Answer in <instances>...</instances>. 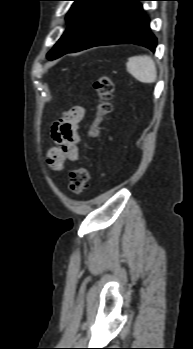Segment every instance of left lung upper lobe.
Here are the masks:
<instances>
[{"label": "left lung upper lobe", "instance_id": "obj_1", "mask_svg": "<svg viewBox=\"0 0 193 349\" xmlns=\"http://www.w3.org/2000/svg\"><path fill=\"white\" fill-rule=\"evenodd\" d=\"M75 1L66 16L68 28L55 46L47 53L53 60L72 48L85 30L111 0H73Z\"/></svg>", "mask_w": 193, "mask_h": 349}]
</instances>
